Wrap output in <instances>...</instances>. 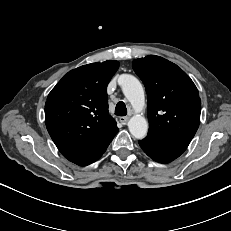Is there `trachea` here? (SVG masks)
Returning a JSON list of instances; mask_svg holds the SVG:
<instances>
[{"label":"trachea","mask_w":231,"mask_h":231,"mask_svg":"<svg viewBox=\"0 0 231 231\" xmlns=\"http://www.w3.org/2000/svg\"><path fill=\"white\" fill-rule=\"evenodd\" d=\"M127 114V108L124 102L120 101L117 103L115 108V115L125 116Z\"/></svg>","instance_id":"obj_1"}]
</instances>
